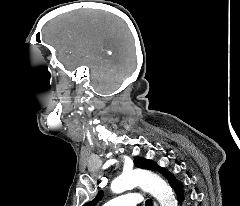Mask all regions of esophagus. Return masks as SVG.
<instances>
[{
    "label": "esophagus",
    "instance_id": "1",
    "mask_svg": "<svg viewBox=\"0 0 240 206\" xmlns=\"http://www.w3.org/2000/svg\"><path fill=\"white\" fill-rule=\"evenodd\" d=\"M154 206H158L156 203H154Z\"/></svg>",
    "mask_w": 240,
    "mask_h": 206
}]
</instances>
